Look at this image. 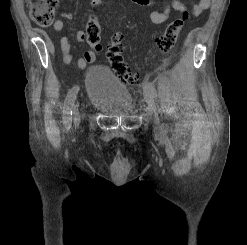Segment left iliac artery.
I'll return each instance as SVG.
<instances>
[{"label": "left iliac artery", "mask_w": 247, "mask_h": 245, "mask_svg": "<svg viewBox=\"0 0 247 245\" xmlns=\"http://www.w3.org/2000/svg\"><path fill=\"white\" fill-rule=\"evenodd\" d=\"M143 89H144L146 94H148V95H150L152 97H156L157 96L155 87H154V85L152 83L145 82L143 84Z\"/></svg>", "instance_id": "obj_1"}]
</instances>
